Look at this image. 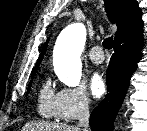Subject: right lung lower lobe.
<instances>
[{
    "label": "right lung lower lobe",
    "instance_id": "obj_1",
    "mask_svg": "<svg viewBox=\"0 0 147 131\" xmlns=\"http://www.w3.org/2000/svg\"><path fill=\"white\" fill-rule=\"evenodd\" d=\"M143 47L142 29L114 42V53L106 72L108 93L90 116L92 131H112L116 114L123 102L130 77L137 67Z\"/></svg>",
    "mask_w": 147,
    "mask_h": 131
}]
</instances>
